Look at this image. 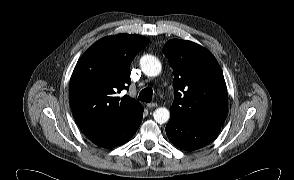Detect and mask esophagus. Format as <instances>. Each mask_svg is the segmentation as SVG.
Returning a JSON list of instances; mask_svg holds the SVG:
<instances>
[{
	"instance_id": "obj_1",
	"label": "esophagus",
	"mask_w": 294,
	"mask_h": 180,
	"mask_svg": "<svg viewBox=\"0 0 294 180\" xmlns=\"http://www.w3.org/2000/svg\"><path fill=\"white\" fill-rule=\"evenodd\" d=\"M146 105H147V107H149V108H155V107L158 106L157 103H147Z\"/></svg>"
}]
</instances>
